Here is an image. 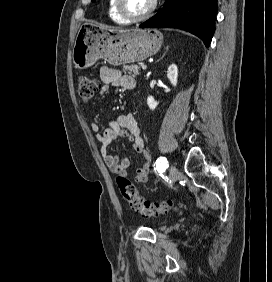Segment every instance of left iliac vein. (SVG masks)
<instances>
[{
	"label": "left iliac vein",
	"instance_id": "1",
	"mask_svg": "<svg viewBox=\"0 0 272 282\" xmlns=\"http://www.w3.org/2000/svg\"><path fill=\"white\" fill-rule=\"evenodd\" d=\"M179 177V172L176 166L171 165L169 168L170 183L173 184Z\"/></svg>",
	"mask_w": 272,
	"mask_h": 282
}]
</instances>
